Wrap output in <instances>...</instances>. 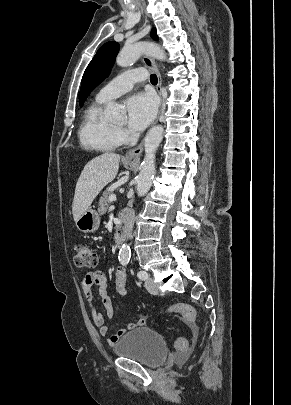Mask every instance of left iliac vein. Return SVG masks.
Masks as SVG:
<instances>
[{
    "instance_id": "4c4485c4",
    "label": "left iliac vein",
    "mask_w": 291,
    "mask_h": 405,
    "mask_svg": "<svg viewBox=\"0 0 291 405\" xmlns=\"http://www.w3.org/2000/svg\"><path fill=\"white\" fill-rule=\"evenodd\" d=\"M145 287L148 290V292H150L151 294L156 295L159 293L157 285L155 284L154 280L150 276H148L145 279Z\"/></svg>"
}]
</instances>
